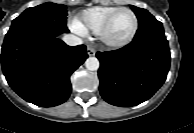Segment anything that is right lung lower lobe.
Segmentation results:
<instances>
[{
    "label": "right lung lower lobe",
    "mask_w": 194,
    "mask_h": 133,
    "mask_svg": "<svg viewBox=\"0 0 194 133\" xmlns=\"http://www.w3.org/2000/svg\"><path fill=\"white\" fill-rule=\"evenodd\" d=\"M68 32L57 21H26L11 26L2 46L8 84L24 100L42 107L64 103L70 76L88 57L85 45L71 47L56 38Z\"/></svg>",
    "instance_id": "98d812e1"
}]
</instances>
